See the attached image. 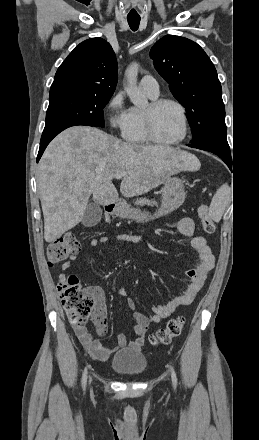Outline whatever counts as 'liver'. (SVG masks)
I'll return each instance as SVG.
<instances>
[{"mask_svg": "<svg viewBox=\"0 0 259 440\" xmlns=\"http://www.w3.org/2000/svg\"><path fill=\"white\" fill-rule=\"evenodd\" d=\"M199 168L197 157L180 149L123 142L89 126L68 128L39 162L44 239L53 242L81 222L91 195L97 205L116 202L112 179L117 172L124 173L120 192L129 198L149 192L175 173Z\"/></svg>", "mask_w": 259, "mask_h": 440, "instance_id": "1", "label": "liver"}]
</instances>
